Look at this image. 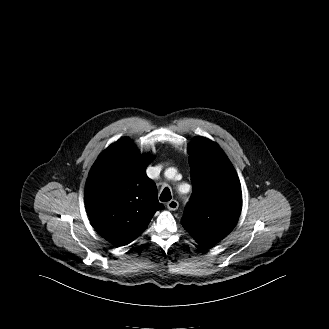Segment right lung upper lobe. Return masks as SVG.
I'll use <instances>...</instances> for the list:
<instances>
[{
	"label": "right lung upper lobe",
	"instance_id": "right-lung-upper-lobe-1",
	"mask_svg": "<svg viewBox=\"0 0 329 329\" xmlns=\"http://www.w3.org/2000/svg\"><path fill=\"white\" fill-rule=\"evenodd\" d=\"M151 160L124 137L100 154L89 173L85 205L91 225L117 246L137 238L155 212L164 208L155 183L146 175Z\"/></svg>",
	"mask_w": 329,
	"mask_h": 329
}]
</instances>
